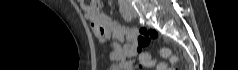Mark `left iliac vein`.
I'll return each mask as SVG.
<instances>
[{
  "label": "left iliac vein",
  "instance_id": "left-iliac-vein-1",
  "mask_svg": "<svg viewBox=\"0 0 238 70\" xmlns=\"http://www.w3.org/2000/svg\"><path fill=\"white\" fill-rule=\"evenodd\" d=\"M127 9L132 17L135 18L137 16L135 9L131 5H127Z\"/></svg>",
  "mask_w": 238,
  "mask_h": 70
}]
</instances>
